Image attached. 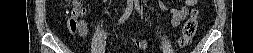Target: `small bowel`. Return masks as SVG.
Masks as SVG:
<instances>
[{"label":"small bowel","mask_w":253,"mask_h":53,"mask_svg":"<svg viewBox=\"0 0 253 53\" xmlns=\"http://www.w3.org/2000/svg\"><path fill=\"white\" fill-rule=\"evenodd\" d=\"M195 0H185L183 2V5L181 6V8L176 9V8H167L165 6H162L163 9L167 10L171 16V23L174 27L178 26L180 24V22L182 21V19H184V17L186 16L188 9L190 6L195 4ZM79 5H81L80 3H78ZM87 22L84 18L81 19L80 22V26L77 30L78 35L81 37H84L87 34Z\"/></svg>","instance_id":"obj_1"}]
</instances>
